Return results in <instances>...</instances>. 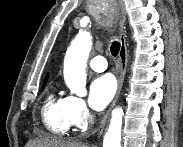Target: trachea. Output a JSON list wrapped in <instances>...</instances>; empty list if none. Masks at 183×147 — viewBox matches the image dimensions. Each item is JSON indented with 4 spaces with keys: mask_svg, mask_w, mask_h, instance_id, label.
<instances>
[{
    "mask_svg": "<svg viewBox=\"0 0 183 147\" xmlns=\"http://www.w3.org/2000/svg\"><path fill=\"white\" fill-rule=\"evenodd\" d=\"M111 54L116 57L120 51V43L114 41L110 47Z\"/></svg>",
    "mask_w": 183,
    "mask_h": 147,
    "instance_id": "1",
    "label": "trachea"
}]
</instances>
